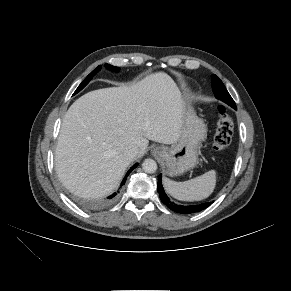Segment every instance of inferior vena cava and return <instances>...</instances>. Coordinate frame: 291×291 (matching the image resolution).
Returning <instances> with one entry per match:
<instances>
[{
	"mask_svg": "<svg viewBox=\"0 0 291 291\" xmlns=\"http://www.w3.org/2000/svg\"><path fill=\"white\" fill-rule=\"evenodd\" d=\"M137 153H138V147L131 146L125 151L124 154L129 160H133L136 157Z\"/></svg>",
	"mask_w": 291,
	"mask_h": 291,
	"instance_id": "obj_1",
	"label": "inferior vena cava"
}]
</instances>
